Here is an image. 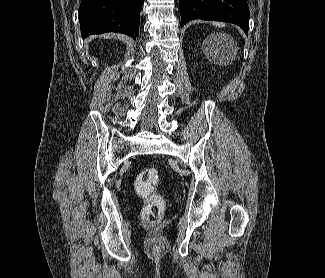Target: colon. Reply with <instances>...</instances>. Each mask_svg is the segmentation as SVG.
Returning a JSON list of instances; mask_svg holds the SVG:
<instances>
[{
  "label": "colon",
  "instance_id": "colon-1",
  "mask_svg": "<svg viewBox=\"0 0 325 278\" xmlns=\"http://www.w3.org/2000/svg\"><path fill=\"white\" fill-rule=\"evenodd\" d=\"M159 184V172L156 168H146L139 173L135 181L138 194L145 198V206L142 210V220L148 224L156 225L163 217L165 203L157 192Z\"/></svg>",
  "mask_w": 325,
  "mask_h": 278
}]
</instances>
